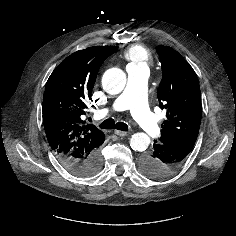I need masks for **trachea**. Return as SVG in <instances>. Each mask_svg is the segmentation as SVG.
<instances>
[{
    "instance_id": "trachea-1",
    "label": "trachea",
    "mask_w": 236,
    "mask_h": 236,
    "mask_svg": "<svg viewBox=\"0 0 236 236\" xmlns=\"http://www.w3.org/2000/svg\"><path fill=\"white\" fill-rule=\"evenodd\" d=\"M102 129H117L120 131H128V125L124 122H117L115 123L114 119L109 118L104 120L100 125Z\"/></svg>"
}]
</instances>
